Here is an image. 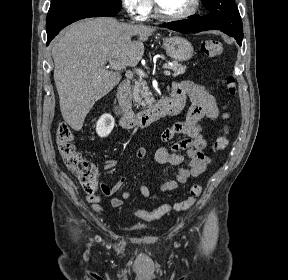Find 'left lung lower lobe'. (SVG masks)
<instances>
[{
	"instance_id": "obj_1",
	"label": "left lung lower lobe",
	"mask_w": 288,
	"mask_h": 280,
	"mask_svg": "<svg viewBox=\"0 0 288 280\" xmlns=\"http://www.w3.org/2000/svg\"><path fill=\"white\" fill-rule=\"evenodd\" d=\"M163 25L172 30L185 32V33H197V32L206 31V30H220L216 25L210 23L205 18V16L201 17L199 15H194L190 19L183 20V21L164 23ZM232 37H234L237 40V43L240 46L242 45V38H238L237 36H232Z\"/></svg>"
}]
</instances>
